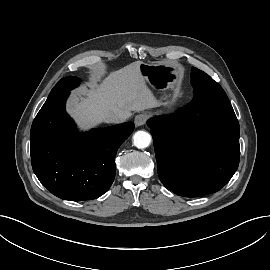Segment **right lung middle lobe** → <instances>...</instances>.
<instances>
[{"instance_id":"obj_1","label":"right lung middle lobe","mask_w":270,"mask_h":270,"mask_svg":"<svg viewBox=\"0 0 270 270\" xmlns=\"http://www.w3.org/2000/svg\"><path fill=\"white\" fill-rule=\"evenodd\" d=\"M80 83V80L74 76H68L61 79L55 87L51 90L48 97H52L55 95H61L64 93H69V91L75 87H77Z\"/></svg>"}]
</instances>
